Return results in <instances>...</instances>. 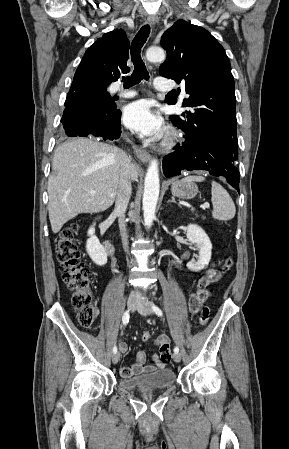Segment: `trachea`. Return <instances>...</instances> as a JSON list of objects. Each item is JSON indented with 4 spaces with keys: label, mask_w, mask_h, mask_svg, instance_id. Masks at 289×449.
Here are the masks:
<instances>
[{
    "label": "trachea",
    "mask_w": 289,
    "mask_h": 449,
    "mask_svg": "<svg viewBox=\"0 0 289 449\" xmlns=\"http://www.w3.org/2000/svg\"><path fill=\"white\" fill-rule=\"evenodd\" d=\"M150 34V26L144 25L138 31L131 44V60L134 65V71L131 76L123 77L124 88H130L139 84L142 79L149 80V73L145 63L141 58V49Z\"/></svg>",
    "instance_id": "trachea-1"
}]
</instances>
